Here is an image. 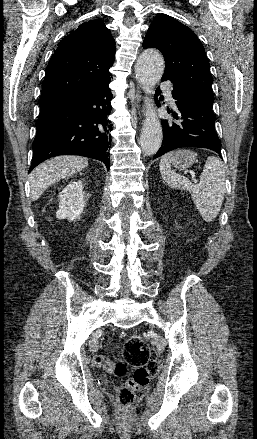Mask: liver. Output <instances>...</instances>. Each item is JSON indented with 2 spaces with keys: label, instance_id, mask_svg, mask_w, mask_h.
Masks as SVG:
<instances>
[{
  "label": "liver",
  "instance_id": "liver-1",
  "mask_svg": "<svg viewBox=\"0 0 257 439\" xmlns=\"http://www.w3.org/2000/svg\"><path fill=\"white\" fill-rule=\"evenodd\" d=\"M88 165L78 156H58L37 166L31 173V199L38 200L43 192L60 179L71 176Z\"/></svg>",
  "mask_w": 257,
  "mask_h": 439
}]
</instances>
